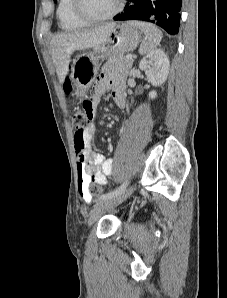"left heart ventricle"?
Here are the masks:
<instances>
[{"instance_id":"left-heart-ventricle-1","label":"left heart ventricle","mask_w":227,"mask_h":298,"mask_svg":"<svg viewBox=\"0 0 227 298\" xmlns=\"http://www.w3.org/2000/svg\"><path fill=\"white\" fill-rule=\"evenodd\" d=\"M84 2L88 14L94 17H102L115 8L117 0H84Z\"/></svg>"}]
</instances>
